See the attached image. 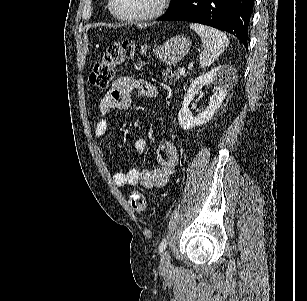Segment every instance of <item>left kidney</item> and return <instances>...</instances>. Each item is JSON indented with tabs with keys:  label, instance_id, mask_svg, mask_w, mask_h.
Instances as JSON below:
<instances>
[{
	"label": "left kidney",
	"instance_id": "obj_1",
	"mask_svg": "<svg viewBox=\"0 0 307 301\" xmlns=\"http://www.w3.org/2000/svg\"><path fill=\"white\" fill-rule=\"evenodd\" d=\"M237 78V70L230 64H219L215 68H211L209 72L201 74L192 80L187 94L183 98V104L178 112V122L184 130L194 128L206 124L214 116L216 110L221 106L228 90L235 84ZM215 84L212 96H210L209 104L203 112L198 116H193L192 110L189 108L190 102L194 100L197 94H203L204 86Z\"/></svg>",
	"mask_w": 307,
	"mask_h": 301
}]
</instances>
